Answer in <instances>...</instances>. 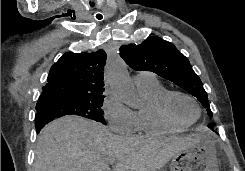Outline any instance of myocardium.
<instances>
[{"mask_svg":"<svg viewBox=\"0 0 245 171\" xmlns=\"http://www.w3.org/2000/svg\"><path fill=\"white\" fill-rule=\"evenodd\" d=\"M174 96L185 97L195 105V107L197 109V117L192 122L184 123V122L177 120L173 116V114L171 113V110H170V102ZM157 108H158L159 115L161 116V118L165 122H167L170 125L180 127V128H187V127L194 125L201 117V107H200L199 103L197 102V100L194 97H192L191 95H189L185 92L179 91V90H166L160 96V98L158 100Z\"/></svg>","mask_w":245,"mask_h":171,"instance_id":"f54148a6","label":"myocardium"}]
</instances>
